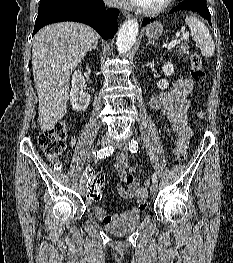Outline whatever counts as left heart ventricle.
Listing matches in <instances>:
<instances>
[{
  "label": "left heart ventricle",
  "mask_w": 233,
  "mask_h": 263,
  "mask_svg": "<svg viewBox=\"0 0 233 263\" xmlns=\"http://www.w3.org/2000/svg\"><path fill=\"white\" fill-rule=\"evenodd\" d=\"M164 0H140L138 5L146 8H153L159 6Z\"/></svg>",
  "instance_id": "b2bd125f"
}]
</instances>
